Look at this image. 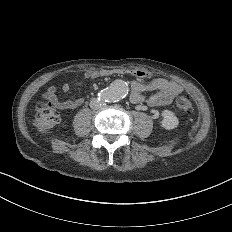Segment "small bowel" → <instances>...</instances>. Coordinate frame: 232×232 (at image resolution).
<instances>
[{
	"label": "small bowel",
	"instance_id": "small-bowel-1",
	"mask_svg": "<svg viewBox=\"0 0 232 232\" xmlns=\"http://www.w3.org/2000/svg\"><path fill=\"white\" fill-rule=\"evenodd\" d=\"M148 75V71L144 69H101L89 72L85 78L89 81H95L110 76H129L131 79L127 81V84L131 90L130 101L141 102L143 100V86L139 82V79ZM78 84V82L71 83L64 81L61 83V88L64 92H69ZM149 84L161 90L159 93L153 94L150 97L149 101L152 105L168 103L183 90V86L178 82L163 78H153L149 81ZM47 94L52 103L61 109L75 108L83 101V99L79 97L61 100L57 95L55 86L48 87Z\"/></svg>",
	"mask_w": 232,
	"mask_h": 232
}]
</instances>
